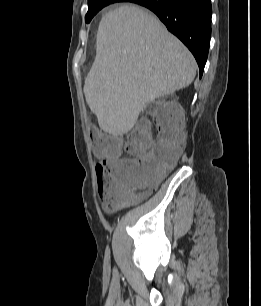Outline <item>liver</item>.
I'll return each mask as SVG.
<instances>
[{
    "label": "liver",
    "instance_id": "obj_1",
    "mask_svg": "<svg viewBox=\"0 0 261 306\" xmlns=\"http://www.w3.org/2000/svg\"><path fill=\"white\" fill-rule=\"evenodd\" d=\"M96 46L84 94L100 128L113 135L128 133L148 103L188 87L196 75L188 49L137 6L106 13Z\"/></svg>",
    "mask_w": 261,
    "mask_h": 306
}]
</instances>
